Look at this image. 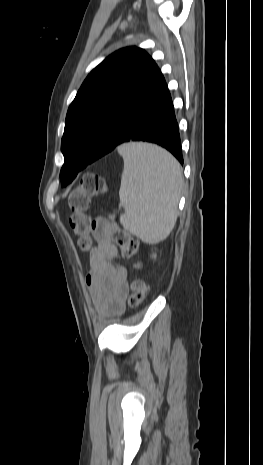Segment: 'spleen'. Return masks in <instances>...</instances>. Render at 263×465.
<instances>
[{
  "mask_svg": "<svg viewBox=\"0 0 263 465\" xmlns=\"http://www.w3.org/2000/svg\"><path fill=\"white\" fill-rule=\"evenodd\" d=\"M124 160L119 190L125 213L120 223L147 243L164 240L174 228L183 183L178 161L160 147L127 143L118 147Z\"/></svg>",
  "mask_w": 263,
  "mask_h": 465,
  "instance_id": "3e777b00",
  "label": "spleen"
}]
</instances>
